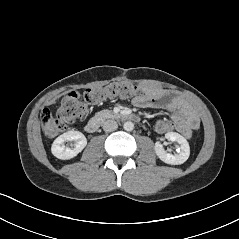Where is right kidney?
I'll return each instance as SVG.
<instances>
[{
	"mask_svg": "<svg viewBox=\"0 0 239 239\" xmlns=\"http://www.w3.org/2000/svg\"><path fill=\"white\" fill-rule=\"evenodd\" d=\"M73 141L71 148L65 147V142ZM87 145L86 137L79 131H68L57 137L51 147L52 154L62 160H68L77 156Z\"/></svg>",
	"mask_w": 239,
	"mask_h": 239,
	"instance_id": "right-kidney-1",
	"label": "right kidney"
}]
</instances>
